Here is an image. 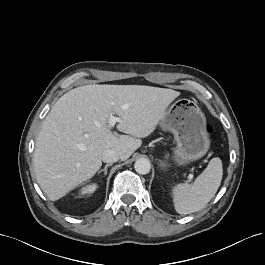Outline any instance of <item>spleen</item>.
Masks as SVG:
<instances>
[{
    "label": "spleen",
    "instance_id": "3e777b00",
    "mask_svg": "<svg viewBox=\"0 0 265 265\" xmlns=\"http://www.w3.org/2000/svg\"><path fill=\"white\" fill-rule=\"evenodd\" d=\"M223 176L222 161L212 158L193 184L180 183L173 187L174 208L179 214L200 211L216 194Z\"/></svg>",
    "mask_w": 265,
    "mask_h": 265
}]
</instances>
